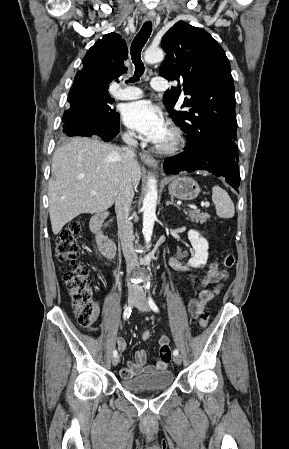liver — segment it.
I'll return each mask as SVG.
<instances>
[{
    "instance_id": "liver-1",
    "label": "liver",
    "mask_w": 289,
    "mask_h": 449,
    "mask_svg": "<svg viewBox=\"0 0 289 449\" xmlns=\"http://www.w3.org/2000/svg\"><path fill=\"white\" fill-rule=\"evenodd\" d=\"M124 166L121 148L96 139L73 138L53 155L52 177L48 184L49 215L52 231L62 228L80 214L100 213L116 199ZM141 178L136 162L132 168L133 186ZM95 190V195L91 191Z\"/></svg>"
}]
</instances>
